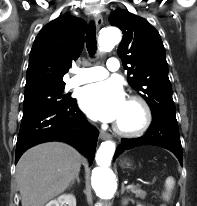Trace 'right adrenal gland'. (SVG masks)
Listing matches in <instances>:
<instances>
[{
	"mask_svg": "<svg viewBox=\"0 0 197 206\" xmlns=\"http://www.w3.org/2000/svg\"><path fill=\"white\" fill-rule=\"evenodd\" d=\"M75 181H77L78 184L80 183L79 172L76 173L75 178L72 180L70 186L74 185V184H75Z\"/></svg>",
	"mask_w": 197,
	"mask_h": 206,
	"instance_id": "1",
	"label": "right adrenal gland"
}]
</instances>
